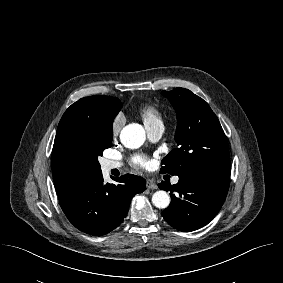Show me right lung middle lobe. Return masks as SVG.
I'll list each match as a JSON object with an SVG mask.
<instances>
[{
  "label": "right lung middle lobe",
  "instance_id": "obj_1",
  "mask_svg": "<svg viewBox=\"0 0 283 283\" xmlns=\"http://www.w3.org/2000/svg\"><path fill=\"white\" fill-rule=\"evenodd\" d=\"M112 124L72 118L63 132L61 166L72 177L85 179L101 171L98 157L112 145Z\"/></svg>",
  "mask_w": 283,
  "mask_h": 283
}]
</instances>
